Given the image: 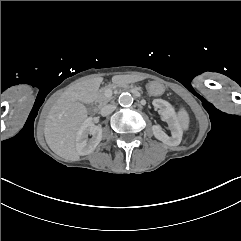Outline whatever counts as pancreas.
Returning <instances> with one entry per match:
<instances>
[{
  "label": "pancreas",
  "instance_id": "cf45deb5",
  "mask_svg": "<svg viewBox=\"0 0 241 241\" xmlns=\"http://www.w3.org/2000/svg\"><path fill=\"white\" fill-rule=\"evenodd\" d=\"M112 98L111 97H106L105 96V89H101L97 98V102L100 105H105L107 104Z\"/></svg>",
  "mask_w": 241,
  "mask_h": 241
}]
</instances>
